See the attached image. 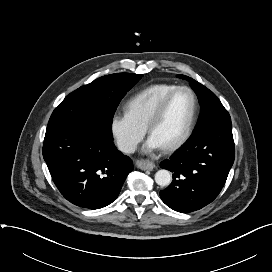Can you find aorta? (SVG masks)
<instances>
[{"mask_svg": "<svg viewBox=\"0 0 272 272\" xmlns=\"http://www.w3.org/2000/svg\"><path fill=\"white\" fill-rule=\"evenodd\" d=\"M172 181V175L168 170L161 169L155 174V182L160 186H167Z\"/></svg>", "mask_w": 272, "mask_h": 272, "instance_id": "obj_1", "label": "aorta"}]
</instances>
